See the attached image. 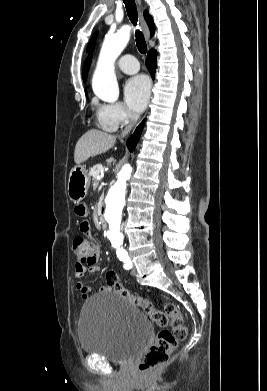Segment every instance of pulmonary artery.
I'll use <instances>...</instances> for the list:
<instances>
[{"label":"pulmonary artery","instance_id":"1","mask_svg":"<svg viewBox=\"0 0 267 391\" xmlns=\"http://www.w3.org/2000/svg\"><path fill=\"white\" fill-rule=\"evenodd\" d=\"M117 67L126 74H134L139 71V62L133 55L126 54L118 59Z\"/></svg>","mask_w":267,"mask_h":391}]
</instances>
